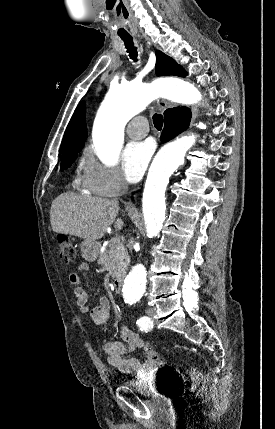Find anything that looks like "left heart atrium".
Here are the masks:
<instances>
[{
    "label": "left heart atrium",
    "mask_w": 275,
    "mask_h": 429,
    "mask_svg": "<svg viewBox=\"0 0 275 429\" xmlns=\"http://www.w3.org/2000/svg\"><path fill=\"white\" fill-rule=\"evenodd\" d=\"M154 146L151 141H136L129 143L122 155V170L129 182H137L143 176L153 154Z\"/></svg>",
    "instance_id": "obj_1"
}]
</instances>
